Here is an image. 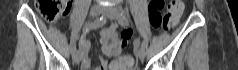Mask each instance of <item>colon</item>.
Masks as SVG:
<instances>
[{"label":"colon","instance_id":"5ec220e1","mask_svg":"<svg viewBox=\"0 0 238 70\" xmlns=\"http://www.w3.org/2000/svg\"><path fill=\"white\" fill-rule=\"evenodd\" d=\"M37 8L41 15L48 21H56L65 16L70 9L67 0H38ZM165 7L164 0H151L149 2V20L154 28H162L166 31L172 30L178 23L183 11V2L180 0L170 1L168 11L164 15L161 10ZM121 48L127 47V42L132 34L126 30L121 32ZM134 61L130 56H122L111 63V70H133Z\"/></svg>","mask_w":238,"mask_h":70}]
</instances>
